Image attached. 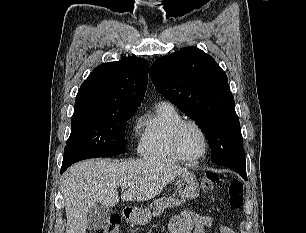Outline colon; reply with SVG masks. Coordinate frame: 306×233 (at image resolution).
<instances>
[{
  "instance_id": "colon-1",
  "label": "colon",
  "mask_w": 306,
  "mask_h": 233,
  "mask_svg": "<svg viewBox=\"0 0 306 233\" xmlns=\"http://www.w3.org/2000/svg\"><path fill=\"white\" fill-rule=\"evenodd\" d=\"M219 177L216 173L208 172L201 181L205 191L210 192ZM244 203V186L239 180H234L229 186V204L234 209H240ZM120 218L112 215L107 223L97 233H119Z\"/></svg>"
}]
</instances>
